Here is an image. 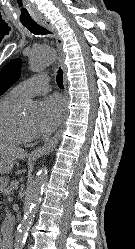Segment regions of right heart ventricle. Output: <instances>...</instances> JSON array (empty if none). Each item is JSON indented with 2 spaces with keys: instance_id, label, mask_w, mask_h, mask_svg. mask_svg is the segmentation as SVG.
I'll use <instances>...</instances> for the list:
<instances>
[{
  "instance_id": "obj_1",
  "label": "right heart ventricle",
  "mask_w": 135,
  "mask_h": 249,
  "mask_svg": "<svg viewBox=\"0 0 135 249\" xmlns=\"http://www.w3.org/2000/svg\"><path fill=\"white\" fill-rule=\"evenodd\" d=\"M23 101L12 91L0 100V144L18 145L24 141L16 125L18 109Z\"/></svg>"
}]
</instances>
